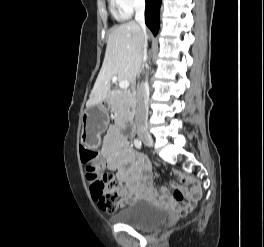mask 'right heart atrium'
<instances>
[{
	"label": "right heart atrium",
	"instance_id": "d8ad5b80",
	"mask_svg": "<svg viewBox=\"0 0 264 247\" xmlns=\"http://www.w3.org/2000/svg\"><path fill=\"white\" fill-rule=\"evenodd\" d=\"M113 9H115L121 17L130 16L133 11L144 5L145 0H110Z\"/></svg>",
	"mask_w": 264,
	"mask_h": 247
}]
</instances>
